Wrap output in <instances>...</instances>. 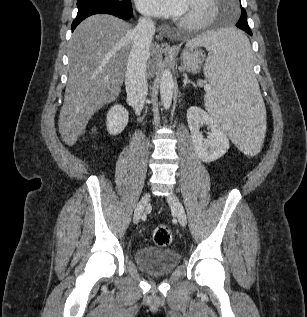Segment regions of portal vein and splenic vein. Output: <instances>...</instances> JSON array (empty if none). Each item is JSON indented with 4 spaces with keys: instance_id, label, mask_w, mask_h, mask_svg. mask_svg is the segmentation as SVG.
<instances>
[{
    "instance_id": "obj_1",
    "label": "portal vein and splenic vein",
    "mask_w": 307,
    "mask_h": 317,
    "mask_svg": "<svg viewBox=\"0 0 307 317\" xmlns=\"http://www.w3.org/2000/svg\"><path fill=\"white\" fill-rule=\"evenodd\" d=\"M210 85H204V89L206 90V91H209L210 90Z\"/></svg>"
}]
</instances>
